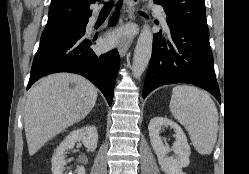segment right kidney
Returning <instances> with one entry per match:
<instances>
[{"mask_svg":"<svg viewBox=\"0 0 249 174\" xmlns=\"http://www.w3.org/2000/svg\"><path fill=\"white\" fill-rule=\"evenodd\" d=\"M81 141L90 151H95L98 144V133L95 126H86L71 132L57 147L55 156L52 158V174H64L66 160L65 151L72 149L76 142ZM77 174H85L83 166L78 167Z\"/></svg>","mask_w":249,"mask_h":174,"instance_id":"obj_1","label":"right kidney"}]
</instances>
